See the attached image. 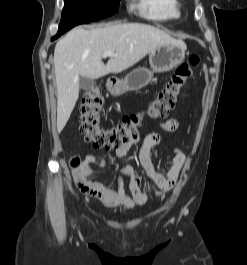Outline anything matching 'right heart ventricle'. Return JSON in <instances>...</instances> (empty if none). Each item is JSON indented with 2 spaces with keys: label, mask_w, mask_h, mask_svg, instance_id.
<instances>
[{
  "label": "right heart ventricle",
  "mask_w": 247,
  "mask_h": 265,
  "mask_svg": "<svg viewBox=\"0 0 247 265\" xmlns=\"http://www.w3.org/2000/svg\"><path fill=\"white\" fill-rule=\"evenodd\" d=\"M141 14L151 20L165 21L181 16L179 0H136Z\"/></svg>",
  "instance_id": "right-heart-ventricle-1"
}]
</instances>
